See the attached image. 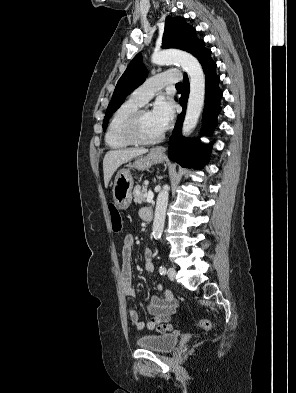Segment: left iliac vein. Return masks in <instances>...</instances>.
I'll use <instances>...</instances> for the list:
<instances>
[{
    "instance_id": "4c4485c4",
    "label": "left iliac vein",
    "mask_w": 296,
    "mask_h": 393,
    "mask_svg": "<svg viewBox=\"0 0 296 393\" xmlns=\"http://www.w3.org/2000/svg\"><path fill=\"white\" fill-rule=\"evenodd\" d=\"M167 274L170 280H174L176 274L175 268L169 267Z\"/></svg>"
}]
</instances>
